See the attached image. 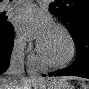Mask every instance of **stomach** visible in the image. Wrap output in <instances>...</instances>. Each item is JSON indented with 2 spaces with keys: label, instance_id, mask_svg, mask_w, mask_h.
I'll return each instance as SVG.
<instances>
[{
  "label": "stomach",
  "instance_id": "1",
  "mask_svg": "<svg viewBox=\"0 0 89 89\" xmlns=\"http://www.w3.org/2000/svg\"><path fill=\"white\" fill-rule=\"evenodd\" d=\"M37 89H75L73 85H71L68 82L63 83H55V82H49L45 85L37 86Z\"/></svg>",
  "mask_w": 89,
  "mask_h": 89
}]
</instances>
